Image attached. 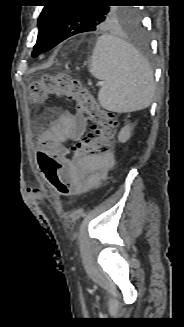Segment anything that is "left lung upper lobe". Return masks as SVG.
<instances>
[{
    "mask_svg": "<svg viewBox=\"0 0 184 327\" xmlns=\"http://www.w3.org/2000/svg\"><path fill=\"white\" fill-rule=\"evenodd\" d=\"M83 2L82 0H53L52 4L44 6L38 19L39 33L32 52L33 58L43 53L60 22L64 29L82 33L111 25L131 28L139 21L138 12L134 8L108 4L85 5Z\"/></svg>",
    "mask_w": 184,
    "mask_h": 327,
    "instance_id": "obj_1",
    "label": "left lung upper lobe"
}]
</instances>
